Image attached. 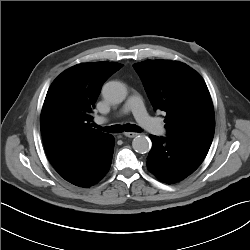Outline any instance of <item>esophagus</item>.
Wrapping results in <instances>:
<instances>
[{
	"label": "esophagus",
	"mask_w": 250,
	"mask_h": 250,
	"mask_svg": "<svg viewBox=\"0 0 250 250\" xmlns=\"http://www.w3.org/2000/svg\"><path fill=\"white\" fill-rule=\"evenodd\" d=\"M124 135L126 137H129V138H133V137H136L138 135V133H134V132H125Z\"/></svg>",
	"instance_id": "esophagus-1"
}]
</instances>
